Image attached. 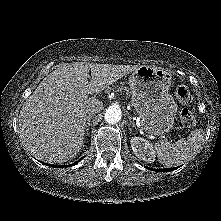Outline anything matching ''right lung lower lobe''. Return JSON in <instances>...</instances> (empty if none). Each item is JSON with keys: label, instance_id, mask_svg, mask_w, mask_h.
Listing matches in <instances>:
<instances>
[{"label": "right lung lower lobe", "instance_id": "obj_1", "mask_svg": "<svg viewBox=\"0 0 221 221\" xmlns=\"http://www.w3.org/2000/svg\"><path fill=\"white\" fill-rule=\"evenodd\" d=\"M82 158H83V157H82ZM82 158H81L80 160H82ZM80 160H78L77 162H79ZM77 162H76V163H77ZM76 163H75V164H76ZM75 164H73V165H75ZM51 166H53V165H51Z\"/></svg>", "mask_w": 221, "mask_h": 221}]
</instances>
